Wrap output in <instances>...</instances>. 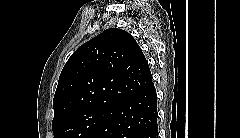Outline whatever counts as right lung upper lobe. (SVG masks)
<instances>
[{"mask_svg": "<svg viewBox=\"0 0 240 138\" xmlns=\"http://www.w3.org/2000/svg\"><path fill=\"white\" fill-rule=\"evenodd\" d=\"M151 82L136 40L124 30L109 28L68 59L54 95L53 121L85 109H109Z\"/></svg>", "mask_w": 240, "mask_h": 138, "instance_id": "cb5924a9", "label": "right lung upper lobe"}]
</instances>
